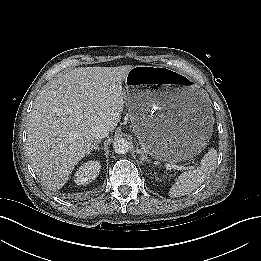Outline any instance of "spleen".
Wrapping results in <instances>:
<instances>
[{
	"mask_svg": "<svg viewBox=\"0 0 261 261\" xmlns=\"http://www.w3.org/2000/svg\"><path fill=\"white\" fill-rule=\"evenodd\" d=\"M217 151L210 149L201 159L199 167L193 171H185L178 178L169 190L172 198L188 195L197 189L214 170L217 162Z\"/></svg>",
	"mask_w": 261,
	"mask_h": 261,
	"instance_id": "3e777b00",
	"label": "spleen"
}]
</instances>
